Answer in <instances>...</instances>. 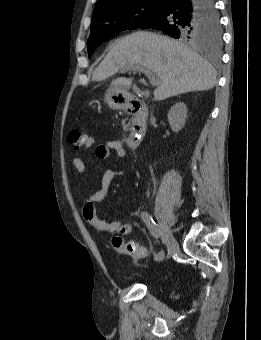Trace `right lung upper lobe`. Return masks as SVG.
I'll list each match as a JSON object with an SVG mask.
<instances>
[{
  "label": "right lung upper lobe",
  "mask_w": 261,
  "mask_h": 340,
  "mask_svg": "<svg viewBox=\"0 0 261 340\" xmlns=\"http://www.w3.org/2000/svg\"><path fill=\"white\" fill-rule=\"evenodd\" d=\"M139 1L146 0H97L92 21L99 19L100 17H102L104 14L108 13L111 10Z\"/></svg>",
  "instance_id": "cb5924a9"
}]
</instances>
